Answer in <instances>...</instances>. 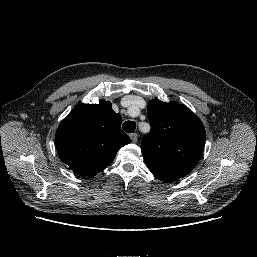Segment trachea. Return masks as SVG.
Returning <instances> with one entry per match:
<instances>
[{"mask_svg":"<svg viewBox=\"0 0 257 257\" xmlns=\"http://www.w3.org/2000/svg\"><path fill=\"white\" fill-rule=\"evenodd\" d=\"M122 128L127 133H133L136 129V123L134 121H126L123 123Z\"/></svg>","mask_w":257,"mask_h":257,"instance_id":"1","label":"trachea"}]
</instances>
